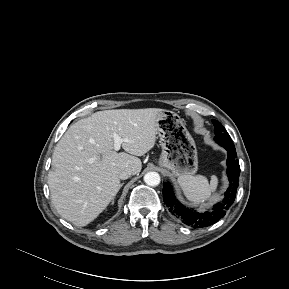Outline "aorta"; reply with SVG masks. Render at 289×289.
Segmentation results:
<instances>
[{"instance_id": "1", "label": "aorta", "mask_w": 289, "mask_h": 289, "mask_svg": "<svg viewBox=\"0 0 289 289\" xmlns=\"http://www.w3.org/2000/svg\"><path fill=\"white\" fill-rule=\"evenodd\" d=\"M144 182L149 186H157L160 183V175L156 172H148L144 175Z\"/></svg>"}]
</instances>
